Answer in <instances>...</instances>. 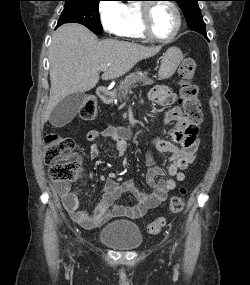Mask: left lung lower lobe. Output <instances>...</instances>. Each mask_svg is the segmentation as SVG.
Wrapping results in <instances>:
<instances>
[{
    "label": "left lung lower lobe",
    "mask_w": 250,
    "mask_h": 285,
    "mask_svg": "<svg viewBox=\"0 0 250 285\" xmlns=\"http://www.w3.org/2000/svg\"><path fill=\"white\" fill-rule=\"evenodd\" d=\"M202 35H203L206 39H208L206 33H203Z\"/></svg>",
    "instance_id": "0a47b994"
}]
</instances>
